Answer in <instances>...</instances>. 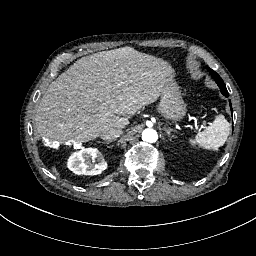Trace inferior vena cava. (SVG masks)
I'll return each mask as SVG.
<instances>
[{
  "instance_id": "602c4592",
  "label": "inferior vena cava",
  "mask_w": 256,
  "mask_h": 256,
  "mask_svg": "<svg viewBox=\"0 0 256 256\" xmlns=\"http://www.w3.org/2000/svg\"><path fill=\"white\" fill-rule=\"evenodd\" d=\"M122 134L121 129L112 128L106 132H103L100 137L104 140H114Z\"/></svg>"
}]
</instances>
